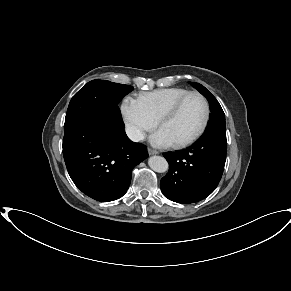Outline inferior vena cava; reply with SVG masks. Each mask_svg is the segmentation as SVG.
Instances as JSON below:
<instances>
[{"label": "inferior vena cava", "instance_id": "602c4592", "mask_svg": "<svg viewBox=\"0 0 291 291\" xmlns=\"http://www.w3.org/2000/svg\"><path fill=\"white\" fill-rule=\"evenodd\" d=\"M126 134L134 142H138L144 139V133L135 126H127Z\"/></svg>", "mask_w": 291, "mask_h": 291}]
</instances>
